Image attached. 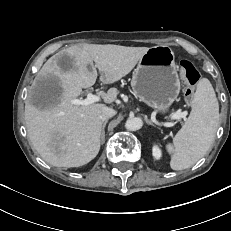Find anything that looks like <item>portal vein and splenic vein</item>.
Listing matches in <instances>:
<instances>
[{"label": "portal vein and splenic vein", "mask_w": 231, "mask_h": 231, "mask_svg": "<svg viewBox=\"0 0 231 231\" xmlns=\"http://www.w3.org/2000/svg\"><path fill=\"white\" fill-rule=\"evenodd\" d=\"M100 100V97L98 95H94L93 93L89 92L87 94V98L86 99H73L71 100V103L74 105H89L95 102H98ZM184 114L183 113H178L174 116V118H179V117H183ZM165 126H169V123H165Z\"/></svg>", "instance_id": "1"}]
</instances>
